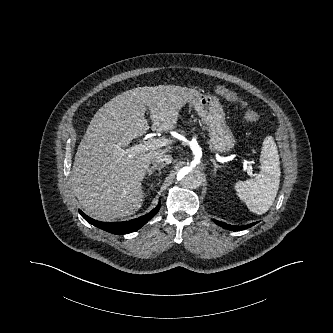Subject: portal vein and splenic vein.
I'll list each match as a JSON object with an SVG mask.
<instances>
[{"mask_svg":"<svg viewBox=\"0 0 333 333\" xmlns=\"http://www.w3.org/2000/svg\"><path fill=\"white\" fill-rule=\"evenodd\" d=\"M167 141L165 139H155V138H150L147 141H144L143 143H140L138 145H135L134 147H132V150L140 153V152H147L149 150H155L161 147L166 146ZM247 174L250 177H253V170L251 166H248L247 168Z\"/></svg>","mask_w":333,"mask_h":333,"instance_id":"portal-vein-and-splenic-vein-1","label":"portal vein and splenic vein"}]
</instances>
